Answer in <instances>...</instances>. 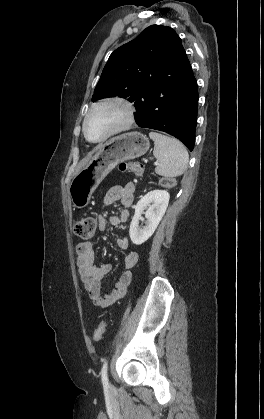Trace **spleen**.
Returning <instances> with one entry per match:
<instances>
[{"label": "spleen", "instance_id": "1", "mask_svg": "<svg viewBox=\"0 0 264 419\" xmlns=\"http://www.w3.org/2000/svg\"><path fill=\"white\" fill-rule=\"evenodd\" d=\"M154 141L153 155L159 161L155 168L158 175L177 177L184 173L188 166L189 155L184 145L176 138L150 132Z\"/></svg>", "mask_w": 264, "mask_h": 419}]
</instances>
